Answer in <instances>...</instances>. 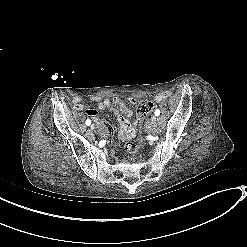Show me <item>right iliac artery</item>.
<instances>
[{
	"label": "right iliac artery",
	"instance_id": "right-iliac-artery-1",
	"mask_svg": "<svg viewBox=\"0 0 247 247\" xmlns=\"http://www.w3.org/2000/svg\"><path fill=\"white\" fill-rule=\"evenodd\" d=\"M90 124H91V120H90V119H87V120H86V125L89 126Z\"/></svg>",
	"mask_w": 247,
	"mask_h": 247
}]
</instances>
